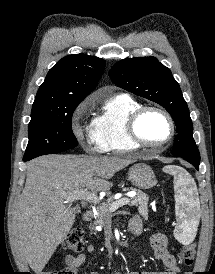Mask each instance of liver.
<instances>
[{
	"mask_svg": "<svg viewBox=\"0 0 215 274\" xmlns=\"http://www.w3.org/2000/svg\"><path fill=\"white\" fill-rule=\"evenodd\" d=\"M130 157L51 155L27 164L26 183L13 216L16 249L37 274L72 228L76 212L65 195L78 189L107 191Z\"/></svg>",
	"mask_w": 215,
	"mask_h": 274,
	"instance_id": "1",
	"label": "liver"
}]
</instances>
